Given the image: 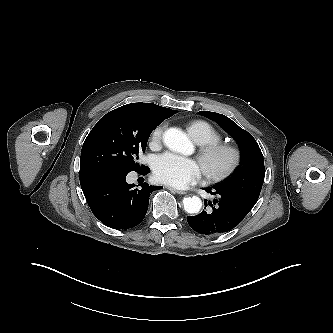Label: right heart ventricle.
<instances>
[{"instance_id":"1","label":"right heart ventricle","mask_w":333,"mask_h":333,"mask_svg":"<svg viewBox=\"0 0 333 333\" xmlns=\"http://www.w3.org/2000/svg\"><path fill=\"white\" fill-rule=\"evenodd\" d=\"M189 135L199 145L204 146L221 141V134L214 126L203 120H195L188 124Z\"/></svg>"}]
</instances>
